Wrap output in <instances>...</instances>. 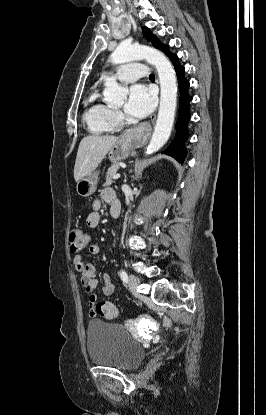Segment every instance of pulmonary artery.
I'll use <instances>...</instances> for the list:
<instances>
[{"label": "pulmonary artery", "mask_w": 266, "mask_h": 415, "mask_svg": "<svg viewBox=\"0 0 266 415\" xmlns=\"http://www.w3.org/2000/svg\"><path fill=\"white\" fill-rule=\"evenodd\" d=\"M147 75L146 66L136 62L122 65L117 71V78L122 82H132Z\"/></svg>", "instance_id": "obj_1"}]
</instances>
